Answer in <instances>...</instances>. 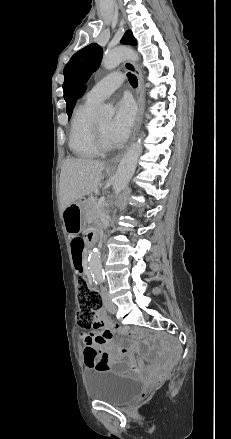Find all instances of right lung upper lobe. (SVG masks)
<instances>
[{"instance_id": "cb5924a9", "label": "right lung upper lobe", "mask_w": 231, "mask_h": 439, "mask_svg": "<svg viewBox=\"0 0 231 439\" xmlns=\"http://www.w3.org/2000/svg\"><path fill=\"white\" fill-rule=\"evenodd\" d=\"M85 89L82 91L81 95L84 93Z\"/></svg>"}]
</instances>
